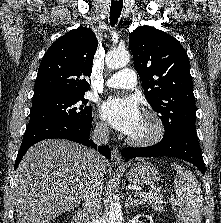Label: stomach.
I'll return each instance as SVG.
<instances>
[{"mask_svg":"<svg viewBox=\"0 0 221 223\" xmlns=\"http://www.w3.org/2000/svg\"><path fill=\"white\" fill-rule=\"evenodd\" d=\"M127 178L133 184L147 185L159 179L156 167L148 162L134 163L127 167Z\"/></svg>","mask_w":221,"mask_h":223,"instance_id":"stomach-1","label":"stomach"}]
</instances>
